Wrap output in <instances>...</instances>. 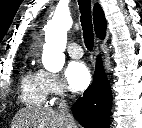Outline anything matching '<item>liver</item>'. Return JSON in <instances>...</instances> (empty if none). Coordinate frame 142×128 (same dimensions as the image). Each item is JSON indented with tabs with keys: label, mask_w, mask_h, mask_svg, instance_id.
<instances>
[{
	"label": "liver",
	"mask_w": 142,
	"mask_h": 128,
	"mask_svg": "<svg viewBox=\"0 0 142 128\" xmlns=\"http://www.w3.org/2000/svg\"><path fill=\"white\" fill-rule=\"evenodd\" d=\"M12 128H73L65 117L53 109L26 107L15 115ZM77 128V127H76Z\"/></svg>",
	"instance_id": "obj_1"
}]
</instances>
